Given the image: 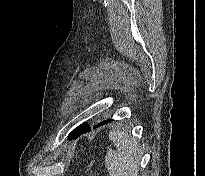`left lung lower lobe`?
Wrapping results in <instances>:
<instances>
[{"label": "left lung lower lobe", "instance_id": "obj_1", "mask_svg": "<svg viewBox=\"0 0 205 176\" xmlns=\"http://www.w3.org/2000/svg\"><path fill=\"white\" fill-rule=\"evenodd\" d=\"M111 120H106L101 122L100 124L96 125L94 128L99 127L100 125H103L105 123L110 122ZM91 128L88 126V124L84 123L83 125H79L77 128H75L69 135V139H76L78 136H80L82 133H85L87 131H90Z\"/></svg>", "mask_w": 205, "mask_h": 176}]
</instances>
